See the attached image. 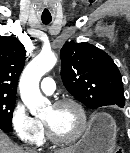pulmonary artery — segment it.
<instances>
[{
  "mask_svg": "<svg viewBox=\"0 0 130 153\" xmlns=\"http://www.w3.org/2000/svg\"><path fill=\"white\" fill-rule=\"evenodd\" d=\"M40 87L43 93L51 95L56 89V84L51 77H45L42 80Z\"/></svg>",
  "mask_w": 130,
  "mask_h": 153,
  "instance_id": "1",
  "label": "pulmonary artery"
}]
</instances>
